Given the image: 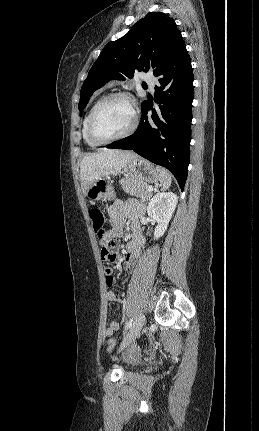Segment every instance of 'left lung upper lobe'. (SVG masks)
<instances>
[{
  "label": "left lung upper lobe",
  "instance_id": "obj_1",
  "mask_svg": "<svg viewBox=\"0 0 259 431\" xmlns=\"http://www.w3.org/2000/svg\"><path fill=\"white\" fill-rule=\"evenodd\" d=\"M182 39L176 23L166 14H147L126 35L103 48L82 85L79 111L95 90L112 79L132 78L136 70L155 74Z\"/></svg>",
  "mask_w": 259,
  "mask_h": 431
}]
</instances>
